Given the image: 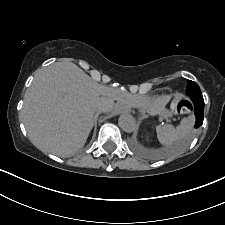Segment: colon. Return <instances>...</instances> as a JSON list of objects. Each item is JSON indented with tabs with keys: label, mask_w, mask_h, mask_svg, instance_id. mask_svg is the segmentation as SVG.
I'll use <instances>...</instances> for the list:
<instances>
[{
	"label": "colon",
	"mask_w": 225,
	"mask_h": 225,
	"mask_svg": "<svg viewBox=\"0 0 225 225\" xmlns=\"http://www.w3.org/2000/svg\"><path fill=\"white\" fill-rule=\"evenodd\" d=\"M192 102L187 99H182L176 96L172 102V109L174 112L179 114H187L192 111Z\"/></svg>",
	"instance_id": "1"
}]
</instances>
